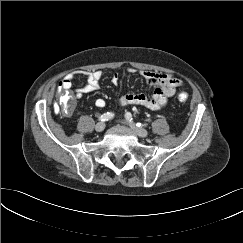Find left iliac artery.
<instances>
[{"label": "left iliac artery", "instance_id": "obj_1", "mask_svg": "<svg viewBox=\"0 0 243 243\" xmlns=\"http://www.w3.org/2000/svg\"><path fill=\"white\" fill-rule=\"evenodd\" d=\"M125 117H126V119L129 120L130 122L133 121L132 114H131L130 112H127V113L125 114ZM136 125H137L138 127H140V126H145V124H141V123H137Z\"/></svg>", "mask_w": 243, "mask_h": 243}]
</instances>
